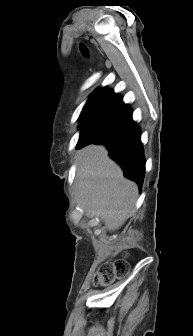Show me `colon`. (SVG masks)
Listing matches in <instances>:
<instances>
[{"mask_svg":"<svg viewBox=\"0 0 193 336\" xmlns=\"http://www.w3.org/2000/svg\"><path fill=\"white\" fill-rule=\"evenodd\" d=\"M129 268V262L125 258L104 263L94 277V284L108 286L114 281L125 277L129 272Z\"/></svg>","mask_w":193,"mask_h":336,"instance_id":"colon-1","label":"colon"}]
</instances>
